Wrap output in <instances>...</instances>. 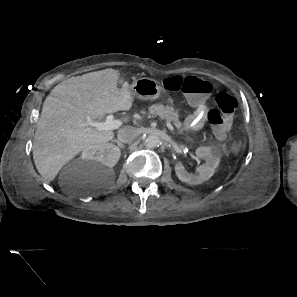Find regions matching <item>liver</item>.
Listing matches in <instances>:
<instances>
[{
	"label": "liver",
	"mask_w": 297,
	"mask_h": 297,
	"mask_svg": "<svg viewBox=\"0 0 297 297\" xmlns=\"http://www.w3.org/2000/svg\"><path fill=\"white\" fill-rule=\"evenodd\" d=\"M119 77V71L112 68L90 72L61 82L46 97L32 151L36 169L47 182L85 148L113 139L112 130L98 131L86 125V115L98 120L131 109L134 98L129 83L125 81L118 89Z\"/></svg>",
	"instance_id": "liver-1"
}]
</instances>
